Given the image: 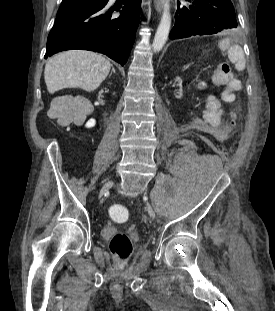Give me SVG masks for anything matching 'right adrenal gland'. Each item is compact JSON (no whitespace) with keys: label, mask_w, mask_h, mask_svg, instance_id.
Segmentation results:
<instances>
[{"label":"right adrenal gland","mask_w":275,"mask_h":311,"mask_svg":"<svg viewBox=\"0 0 275 311\" xmlns=\"http://www.w3.org/2000/svg\"><path fill=\"white\" fill-rule=\"evenodd\" d=\"M111 67H112V71H111L109 77H111V75H112L113 73H115V69H114L113 65H111Z\"/></svg>","instance_id":"right-adrenal-gland-1"}]
</instances>
